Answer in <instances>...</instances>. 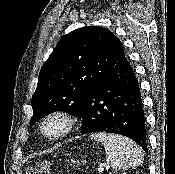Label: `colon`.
Returning a JSON list of instances; mask_svg holds the SVG:
<instances>
[{
    "mask_svg": "<svg viewBox=\"0 0 175 174\" xmlns=\"http://www.w3.org/2000/svg\"><path fill=\"white\" fill-rule=\"evenodd\" d=\"M50 165L47 162H40L35 166L27 168L26 174H49Z\"/></svg>",
    "mask_w": 175,
    "mask_h": 174,
    "instance_id": "5ec220e1",
    "label": "colon"
}]
</instances>
